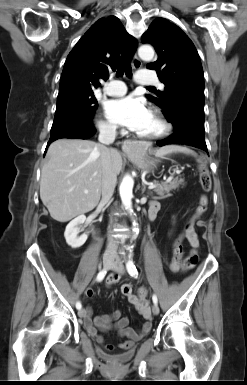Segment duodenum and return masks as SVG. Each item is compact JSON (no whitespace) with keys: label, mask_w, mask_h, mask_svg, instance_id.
<instances>
[{"label":"duodenum","mask_w":247,"mask_h":385,"mask_svg":"<svg viewBox=\"0 0 247 385\" xmlns=\"http://www.w3.org/2000/svg\"><path fill=\"white\" fill-rule=\"evenodd\" d=\"M155 217H156V213H155L154 211H150L149 218H150L151 220H153V219H155Z\"/></svg>","instance_id":"obj_1"}]
</instances>
